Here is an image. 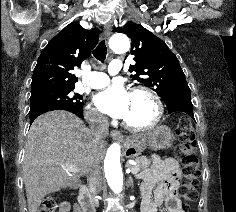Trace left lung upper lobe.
Instances as JSON below:
<instances>
[{
  "mask_svg": "<svg viewBox=\"0 0 236 212\" xmlns=\"http://www.w3.org/2000/svg\"><path fill=\"white\" fill-rule=\"evenodd\" d=\"M116 31L127 34L132 41L130 53L135 55L136 64L129 67L135 72L131 78L151 87L164 102L171 94L190 89L177 57L163 40L133 22Z\"/></svg>",
  "mask_w": 236,
  "mask_h": 212,
  "instance_id": "left-lung-upper-lobe-1",
  "label": "left lung upper lobe"
}]
</instances>
